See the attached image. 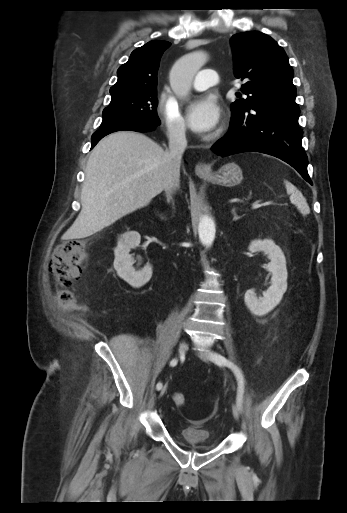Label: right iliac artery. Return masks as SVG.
<instances>
[{
  "label": "right iliac artery",
  "mask_w": 347,
  "mask_h": 513,
  "mask_svg": "<svg viewBox=\"0 0 347 513\" xmlns=\"http://www.w3.org/2000/svg\"><path fill=\"white\" fill-rule=\"evenodd\" d=\"M177 362H178L177 358L172 359V360L170 361V366H172V367L176 366V365H177ZM162 386H163V385H162V383H161V382H159V383H157V385H156V389H157V390H160V389L162 388Z\"/></svg>",
  "instance_id": "obj_1"
}]
</instances>
